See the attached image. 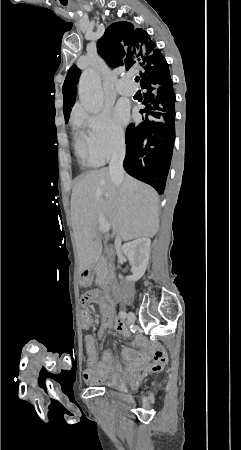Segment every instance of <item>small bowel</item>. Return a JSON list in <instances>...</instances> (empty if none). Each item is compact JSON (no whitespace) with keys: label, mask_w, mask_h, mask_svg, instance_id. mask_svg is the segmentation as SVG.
<instances>
[{"label":"small bowel","mask_w":241,"mask_h":450,"mask_svg":"<svg viewBox=\"0 0 241 450\" xmlns=\"http://www.w3.org/2000/svg\"><path fill=\"white\" fill-rule=\"evenodd\" d=\"M82 286L85 287L87 285ZM91 301L99 302L100 308L106 318V323L99 331L100 334L105 331L108 324H111L118 334L126 337L130 336V332L124 322L121 319L112 317L114 300L109 299L108 295L103 291L101 292L99 289L91 290L82 297L84 306L83 311H91L88 306ZM89 326L91 327L92 325ZM84 343L87 353V367L84 373V379L90 385L105 383L112 386L119 382L126 381L132 387L136 388L139 386L142 377L148 371H159L167 362V354L162 347H154L141 339L134 340L133 344L141 347L144 351H139L137 353L131 348L125 349L123 351L125 359L123 365L111 364V355L109 353H106L104 361L100 362L96 351V339L93 335H86ZM146 358L153 359V363L150 367L147 366Z\"/></svg>","instance_id":"obj_1"}]
</instances>
